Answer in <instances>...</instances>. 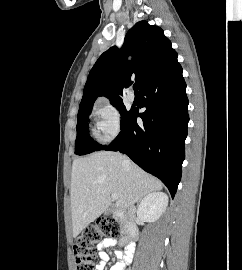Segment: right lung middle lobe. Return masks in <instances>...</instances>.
Segmentation results:
<instances>
[{
    "label": "right lung middle lobe",
    "mask_w": 242,
    "mask_h": 270,
    "mask_svg": "<svg viewBox=\"0 0 242 270\" xmlns=\"http://www.w3.org/2000/svg\"><path fill=\"white\" fill-rule=\"evenodd\" d=\"M121 114V128L124 123L127 121L128 117L132 113V110L127 111L122 100H116L111 102ZM92 107L79 110L78 118H77V137H76V146H75V154L77 155H85L88 153H92L94 151L101 150L104 146L97 144L90 136H89V119L88 115L92 110Z\"/></svg>",
    "instance_id": "right-lung-middle-lobe-1"
}]
</instances>
